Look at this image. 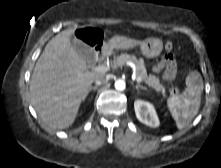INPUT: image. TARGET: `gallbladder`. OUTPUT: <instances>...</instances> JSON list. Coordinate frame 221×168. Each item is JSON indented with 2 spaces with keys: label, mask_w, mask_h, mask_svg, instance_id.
<instances>
[{
  "label": "gallbladder",
  "mask_w": 221,
  "mask_h": 168,
  "mask_svg": "<svg viewBox=\"0 0 221 168\" xmlns=\"http://www.w3.org/2000/svg\"><path fill=\"white\" fill-rule=\"evenodd\" d=\"M71 45L76 53L88 64L94 61V52L89 45L74 37L71 38Z\"/></svg>",
  "instance_id": "obj_1"
}]
</instances>
